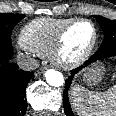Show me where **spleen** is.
Wrapping results in <instances>:
<instances>
[{"label":"spleen","instance_id":"1","mask_svg":"<svg viewBox=\"0 0 116 116\" xmlns=\"http://www.w3.org/2000/svg\"><path fill=\"white\" fill-rule=\"evenodd\" d=\"M71 100L79 116H116V85L105 92L87 91L74 86Z\"/></svg>","mask_w":116,"mask_h":116}]
</instances>
